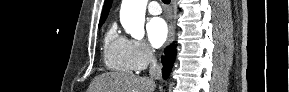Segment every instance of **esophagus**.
<instances>
[{
  "label": "esophagus",
  "mask_w": 289,
  "mask_h": 92,
  "mask_svg": "<svg viewBox=\"0 0 289 92\" xmlns=\"http://www.w3.org/2000/svg\"><path fill=\"white\" fill-rule=\"evenodd\" d=\"M174 37H175V24L171 22L169 26V35H168V40H167L168 45L172 43V41L174 40Z\"/></svg>",
  "instance_id": "1"
}]
</instances>
